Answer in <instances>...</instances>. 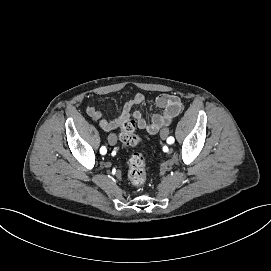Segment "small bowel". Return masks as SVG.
I'll return each mask as SVG.
<instances>
[{
  "instance_id": "obj_1",
  "label": "small bowel",
  "mask_w": 271,
  "mask_h": 271,
  "mask_svg": "<svg viewBox=\"0 0 271 271\" xmlns=\"http://www.w3.org/2000/svg\"><path fill=\"white\" fill-rule=\"evenodd\" d=\"M144 101L145 97L143 94H136L123 105L119 116L112 120L104 119L102 113L94 106H87L86 113L92 120L99 121L100 127L105 132L117 130L123 126L125 121L132 119L140 129L146 130L150 134H155L161 127L169 125L182 110V103L179 97L161 94L154 101L160 111L154 113L148 119L140 111L133 110L136 105H140Z\"/></svg>"
}]
</instances>
